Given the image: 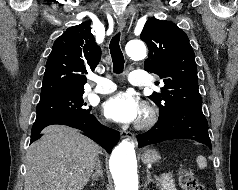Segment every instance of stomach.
I'll list each match as a JSON object with an SVG mask.
<instances>
[{"label": "stomach", "mask_w": 238, "mask_h": 190, "mask_svg": "<svg viewBox=\"0 0 238 190\" xmlns=\"http://www.w3.org/2000/svg\"><path fill=\"white\" fill-rule=\"evenodd\" d=\"M160 158V154L154 149H146L141 155L142 161L146 164L157 163Z\"/></svg>", "instance_id": "1"}]
</instances>
